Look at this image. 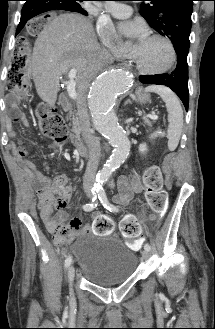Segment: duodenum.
I'll return each instance as SVG.
<instances>
[{"label": "duodenum", "mask_w": 215, "mask_h": 329, "mask_svg": "<svg viewBox=\"0 0 215 329\" xmlns=\"http://www.w3.org/2000/svg\"><path fill=\"white\" fill-rule=\"evenodd\" d=\"M60 106L65 110H70L71 108V99L65 93H62L59 98ZM75 149L79 156L84 157L87 155V148L80 141L75 142Z\"/></svg>", "instance_id": "duodenum-1"}]
</instances>
